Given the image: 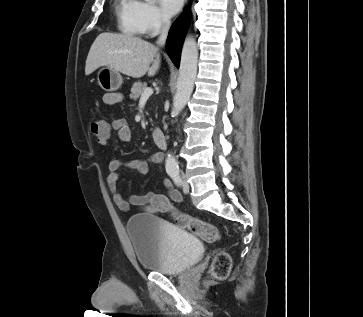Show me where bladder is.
<instances>
[{
  "instance_id": "31cf9c89",
  "label": "bladder",
  "mask_w": 363,
  "mask_h": 317,
  "mask_svg": "<svg viewBox=\"0 0 363 317\" xmlns=\"http://www.w3.org/2000/svg\"><path fill=\"white\" fill-rule=\"evenodd\" d=\"M127 233L139 265L147 270L177 275L189 270L204 253L198 236L151 214L132 216Z\"/></svg>"
}]
</instances>
